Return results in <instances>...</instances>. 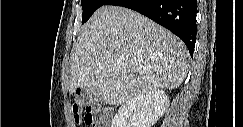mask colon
Segmentation results:
<instances>
[{
    "label": "colon",
    "mask_w": 243,
    "mask_h": 127,
    "mask_svg": "<svg viewBox=\"0 0 243 127\" xmlns=\"http://www.w3.org/2000/svg\"><path fill=\"white\" fill-rule=\"evenodd\" d=\"M71 107L76 124L84 122L91 127L107 126L109 112L106 108L85 102L80 94L72 97Z\"/></svg>",
    "instance_id": "1"
}]
</instances>
